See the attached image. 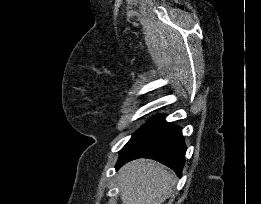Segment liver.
I'll use <instances>...</instances> for the list:
<instances>
[{"mask_svg": "<svg viewBox=\"0 0 261 204\" xmlns=\"http://www.w3.org/2000/svg\"><path fill=\"white\" fill-rule=\"evenodd\" d=\"M122 204H162L175 186V176L164 165L139 159L119 171Z\"/></svg>", "mask_w": 261, "mask_h": 204, "instance_id": "6515ba94", "label": "liver"}]
</instances>
